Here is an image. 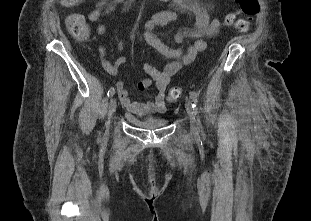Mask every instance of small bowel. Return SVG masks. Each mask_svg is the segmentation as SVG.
<instances>
[{
	"instance_id": "obj_1",
	"label": "small bowel",
	"mask_w": 311,
	"mask_h": 221,
	"mask_svg": "<svg viewBox=\"0 0 311 221\" xmlns=\"http://www.w3.org/2000/svg\"><path fill=\"white\" fill-rule=\"evenodd\" d=\"M119 1L99 0L96 8L87 15V19L90 22H95L100 17L110 14ZM173 6V10L159 12L145 24L144 38L146 42L162 56L169 59L162 70L157 69L150 63L144 65V70L149 75V78L139 83V89L144 90L154 83L156 89L154 96L144 102L131 100L124 82L118 81L116 83L117 93L122 104L130 113L139 117L165 112V94L170 78L183 66L190 64L200 52L206 49L207 44L204 38L215 34L220 27V21L218 19L211 20L207 10L198 0H173ZM182 11L192 12L196 17V23L192 29L180 31L174 37V41L177 43L190 41L191 44L187 47L174 48L169 45V41L162 40L156 36L152 32V29L156 26L166 25L176 21L179 13ZM97 31L98 33H103L105 31V25L99 24ZM119 48H123L122 41L119 43ZM100 53L102 56V65L109 74L116 75L118 69L126 63V59L123 56L117 58L115 63L109 62L103 48H100Z\"/></svg>"
}]
</instances>
